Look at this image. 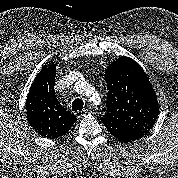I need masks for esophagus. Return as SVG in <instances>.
I'll use <instances>...</instances> for the list:
<instances>
[{"instance_id": "34e87169", "label": "esophagus", "mask_w": 178, "mask_h": 178, "mask_svg": "<svg viewBox=\"0 0 178 178\" xmlns=\"http://www.w3.org/2000/svg\"><path fill=\"white\" fill-rule=\"evenodd\" d=\"M87 113H89V110L88 109H83L81 111H77L75 113V115H76L77 118H81L82 116L86 115Z\"/></svg>"}]
</instances>
